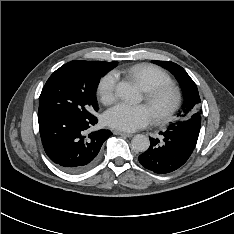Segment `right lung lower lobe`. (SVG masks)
I'll use <instances>...</instances> for the list:
<instances>
[{
    "instance_id": "obj_1",
    "label": "right lung lower lobe",
    "mask_w": 234,
    "mask_h": 234,
    "mask_svg": "<svg viewBox=\"0 0 234 234\" xmlns=\"http://www.w3.org/2000/svg\"><path fill=\"white\" fill-rule=\"evenodd\" d=\"M38 122L47 156L70 173H79L93 166L102 144L112 135L111 131L104 129L87 135L88 129L97 123L95 116L50 114L38 118Z\"/></svg>"
}]
</instances>
